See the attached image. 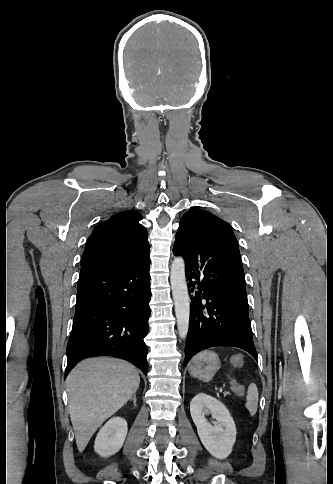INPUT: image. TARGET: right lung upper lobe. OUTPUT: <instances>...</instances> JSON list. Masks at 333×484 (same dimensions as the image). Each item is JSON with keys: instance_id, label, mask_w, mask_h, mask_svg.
Masks as SVG:
<instances>
[{"instance_id": "right-lung-upper-lobe-1", "label": "right lung upper lobe", "mask_w": 333, "mask_h": 484, "mask_svg": "<svg viewBox=\"0 0 333 484\" xmlns=\"http://www.w3.org/2000/svg\"><path fill=\"white\" fill-rule=\"evenodd\" d=\"M142 216L135 211L117 213L97 225L81 258V270L99 266H122L149 255L150 245Z\"/></svg>"}]
</instances>
